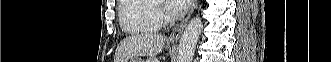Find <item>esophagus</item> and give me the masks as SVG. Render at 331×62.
Here are the masks:
<instances>
[{
	"label": "esophagus",
	"mask_w": 331,
	"mask_h": 62,
	"mask_svg": "<svg viewBox=\"0 0 331 62\" xmlns=\"http://www.w3.org/2000/svg\"><path fill=\"white\" fill-rule=\"evenodd\" d=\"M197 2H198L197 0L192 1V5H191V8H190V11H189L188 15L186 16V18L178 25V27L169 36L170 41L174 42V41H177L180 38L185 26L187 25V22H188L189 18L191 17L194 9L197 6Z\"/></svg>",
	"instance_id": "1"
}]
</instances>
